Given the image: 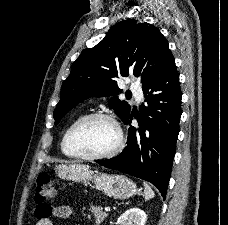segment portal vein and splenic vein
<instances>
[{"mask_svg":"<svg viewBox=\"0 0 228 225\" xmlns=\"http://www.w3.org/2000/svg\"><path fill=\"white\" fill-rule=\"evenodd\" d=\"M105 211H110V207H105Z\"/></svg>","mask_w":228,"mask_h":225,"instance_id":"18ae733b","label":"portal vein and splenic vein"}]
</instances>
